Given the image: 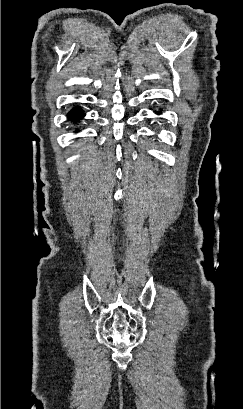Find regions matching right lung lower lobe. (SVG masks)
<instances>
[{"instance_id": "1", "label": "right lung lower lobe", "mask_w": 243, "mask_h": 409, "mask_svg": "<svg viewBox=\"0 0 243 409\" xmlns=\"http://www.w3.org/2000/svg\"><path fill=\"white\" fill-rule=\"evenodd\" d=\"M85 116V114L83 113V111L80 108H75L72 109L69 113H68V118L72 121H76L78 119H81Z\"/></svg>"}]
</instances>
